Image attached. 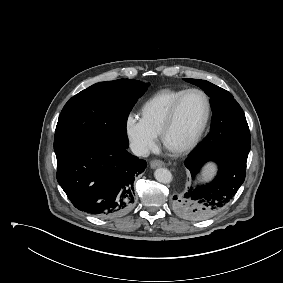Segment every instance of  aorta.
I'll return each mask as SVG.
<instances>
[{
    "mask_svg": "<svg viewBox=\"0 0 283 283\" xmlns=\"http://www.w3.org/2000/svg\"><path fill=\"white\" fill-rule=\"evenodd\" d=\"M155 179L160 183H170L172 181V174L166 168H158L154 172Z\"/></svg>",
    "mask_w": 283,
    "mask_h": 283,
    "instance_id": "aorta-1",
    "label": "aorta"
}]
</instances>
